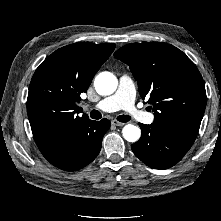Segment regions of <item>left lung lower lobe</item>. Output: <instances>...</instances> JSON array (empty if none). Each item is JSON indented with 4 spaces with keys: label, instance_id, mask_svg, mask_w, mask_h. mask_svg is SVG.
<instances>
[{
    "label": "left lung lower lobe",
    "instance_id": "left-lung-lower-lobe-1",
    "mask_svg": "<svg viewBox=\"0 0 221 221\" xmlns=\"http://www.w3.org/2000/svg\"><path fill=\"white\" fill-rule=\"evenodd\" d=\"M141 138L131 146L134 154L146 165L155 169H167L178 163L196 139L195 133L153 122L140 124Z\"/></svg>",
    "mask_w": 221,
    "mask_h": 221
}]
</instances>
